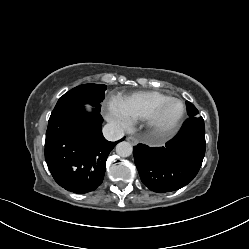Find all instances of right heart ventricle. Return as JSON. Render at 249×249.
I'll use <instances>...</instances> for the list:
<instances>
[{"instance_id": "e07e8e85", "label": "right heart ventricle", "mask_w": 249, "mask_h": 249, "mask_svg": "<svg viewBox=\"0 0 249 249\" xmlns=\"http://www.w3.org/2000/svg\"><path fill=\"white\" fill-rule=\"evenodd\" d=\"M171 98L159 91H138L119 97L117 102L133 119H144L158 104Z\"/></svg>"}]
</instances>
